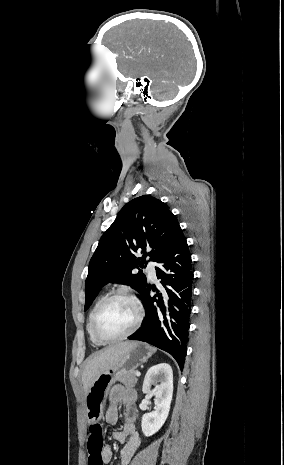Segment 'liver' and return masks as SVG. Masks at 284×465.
Masks as SVG:
<instances>
[{"label":"liver","mask_w":284,"mask_h":465,"mask_svg":"<svg viewBox=\"0 0 284 465\" xmlns=\"http://www.w3.org/2000/svg\"><path fill=\"white\" fill-rule=\"evenodd\" d=\"M132 343L126 341V343H117V345H112V347H107L98 355H92L88 359L85 369L82 373V385L85 395L89 391L93 381L108 371V369H113L116 367L117 363H120L124 353H127L131 349Z\"/></svg>","instance_id":"liver-1"}]
</instances>
